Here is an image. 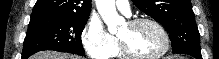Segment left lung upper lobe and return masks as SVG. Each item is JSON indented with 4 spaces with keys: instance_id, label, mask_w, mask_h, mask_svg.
<instances>
[{
    "instance_id": "left-lung-upper-lobe-1",
    "label": "left lung upper lobe",
    "mask_w": 219,
    "mask_h": 59,
    "mask_svg": "<svg viewBox=\"0 0 219 59\" xmlns=\"http://www.w3.org/2000/svg\"><path fill=\"white\" fill-rule=\"evenodd\" d=\"M132 1L145 14L167 27L173 53L200 50V34L190 0Z\"/></svg>"
}]
</instances>
